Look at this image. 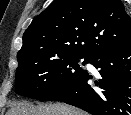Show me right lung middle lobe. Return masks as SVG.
<instances>
[{"instance_id":"right-lung-middle-lobe-1","label":"right lung middle lobe","mask_w":131,"mask_h":115,"mask_svg":"<svg viewBox=\"0 0 131 115\" xmlns=\"http://www.w3.org/2000/svg\"><path fill=\"white\" fill-rule=\"evenodd\" d=\"M84 57L72 53L53 54L17 70L15 92L39 101L55 100L82 73L78 64ZM87 62V58H84Z\"/></svg>"}]
</instances>
